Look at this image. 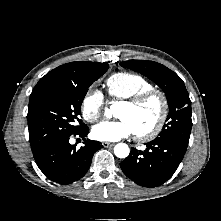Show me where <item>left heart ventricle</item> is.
<instances>
[{
    "label": "left heart ventricle",
    "mask_w": 221,
    "mask_h": 221,
    "mask_svg": "<svg viewBox=\"0 0 221 221\" xmlns=\"http://www.w3.org/2000/svg\"><path fill=\"white\" fill-rule=\"evenodd\" d=\"M160 114V103L157 99H151L139 108H131L119 105L116 116L127 120L135 132H144L151 129Z\"/></svg>",
    "instance_id": "b2bd125f"
}]
</instances>
